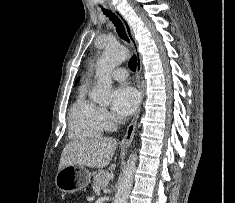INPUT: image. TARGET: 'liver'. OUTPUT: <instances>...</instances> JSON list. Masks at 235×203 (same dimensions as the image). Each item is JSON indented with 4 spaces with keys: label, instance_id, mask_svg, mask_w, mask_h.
<instances>
[{
    "label": "liver",
    "instance_id": "6515ba94",
    "mask_svg": "<svg viewBox=\"0 0 235 203\" xmlns=\"http://www.w3.org/2000/svg\"><path fill=\"white\" fill-rule=\"evenodd\" d=\"M116 147L117 141L113 138L95 137L69 142L62 151L59 170L69 165L104 168L110 163Z\"/></svg>",
    "mask_w": 235,
    "mask_h": 203
}]
</instances>
